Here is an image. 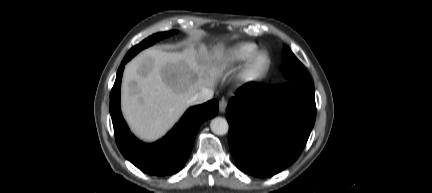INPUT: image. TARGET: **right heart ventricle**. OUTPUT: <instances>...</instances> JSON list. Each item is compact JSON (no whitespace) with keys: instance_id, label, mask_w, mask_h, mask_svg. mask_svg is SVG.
I'll return each mask as SVG.
<instances>
[{"instance_id":"e07e8e85","label":"right heart ventricle","mask_w":432,"mask_h":193,"mask_svg":"<svg viewBox=\"0 0 432 193\" xmlns=\"http://www.w3.org/2000/svg\"><path fill=\"white\" fill-rule=\"evenodd\" d=\"M258 49L252 42H243L229 48L222 56L220 66L224 69L234 68L246 62Z\"/></svg>"}]
</instances>
